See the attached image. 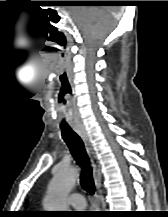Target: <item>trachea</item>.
I'll use <instances>...</instances> for the list:
<instances>
[{"label":"trachea","mask_w":168,"mask_h":217,"mask_svg":"<svg viewBox=\"0 0 168 217\" xmlns=\"http://www.w3.org/2000/svg\"><path fill=\"white\" fill-rule=\"evenodd\" d=\"M62 138L68 145L75 161L82 167L80 175V184L82 188L90 194L95 192L92 169L89 164V158L86 153L84 143L80 136L69 126L61 127Z\"/></svg>","instance_id":"3493384b"}]
</instances>
